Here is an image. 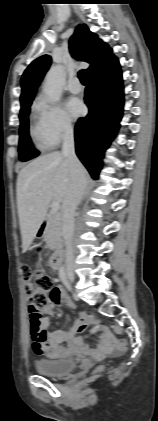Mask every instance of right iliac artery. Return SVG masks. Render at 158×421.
Returning a JSON list of instances; mask_svg holds the SVG:
<instances>
[{
	"mask_svg": "<svg viewBox=\"0 0 158 421\" xmlns=\"http://www.w3.org/2000/svg\"><path fill=\"white\" fill-rule=\"evenodd\" d=\"M59 277H60V279H61L62 283L65 285V287H66L68 290H71V285H70V283H69V281H68V279H67V276H66V270H65V267H64V266H62V267L59 269Z\"/></svg>",
	"mask_w": 158,
	"mask_h": 421,
	"instance_id": "obj_1",
	"label": "right iliac artery"
}]
</instances>
